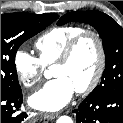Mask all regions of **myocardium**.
Returning a JSON list of instances; mask_svg holds the SVG:
<instances>
[{
	"instance_id": "f54148a6",
	"label": "myocardium",
	"mask_w": 123,
	"mask_h": 123,
	"mask_svg": "<svg viewBox=\"0 0 123 123\" xmlns=\"http://www.w3.org/2000/svg\"><path fill=\"white\" fill-rule=\"evenodd\" d=\"M87 37L92 38L97 45L98 62H97L95 73L93 74L90 81L85 86L76 89V92L81 95L91 92L99 84L104 74V70L106 66V52H105L104 42L100 34L94 30H83L80 33H78L68 42L65 49L63 50V53L61 54V56L55 62L54 65L56 66V65L67 64L73 57L80 43Z\"/></svg>"
}]
</instances>
